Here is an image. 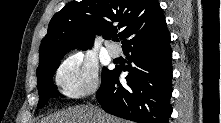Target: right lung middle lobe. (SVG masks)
Segmentation results:
<instances>
[{"instance_id": "1", "label": "right lung middle lobe", "mask_w": 221, "mask_h": 123, "mask_svg": "<svg viewBox=\"0 0 221 123\" xmlns=\"http://www.w3.org/2000/svg\"><path fill=\"white\" fill-rule=\"evenodd\" d=\"M62 59V58H60ZM60 59L55 60L46 66L37 69L38 78V93H39V103L37 108H42L50 97H58L59 93L56 91V86L52 82V77L60 65ZM109 72L108 69L103 68L102 77H104Z\"/></svg>"}]
</instances>
